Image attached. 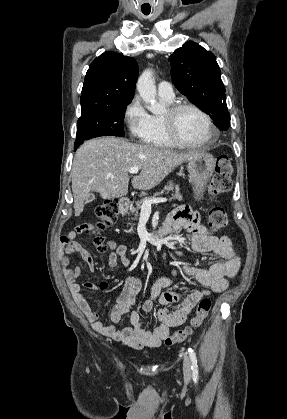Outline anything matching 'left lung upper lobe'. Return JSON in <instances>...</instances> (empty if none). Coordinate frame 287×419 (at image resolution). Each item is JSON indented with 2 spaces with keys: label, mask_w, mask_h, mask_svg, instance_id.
I'll use <instances>...</instances> for the list:
<instances>
[{
  "label": "left lung upper lobe",
  "mask_w": 287,
  "mask_h": 419,
  "mask_svg": "<svg viewBox=\"0 0 287 419\" xmlns=\"http://www.w3.org/2000/svg\"><path fill=\"white\" fill-rule=\"evenodd\" d=\"M169 61L175 87L199 109L209 114L220 130H227L230 114L214 54L189 41L175 50Z\"/></svg>",
  "instance_id": "obj_1"
}]
</instances>
